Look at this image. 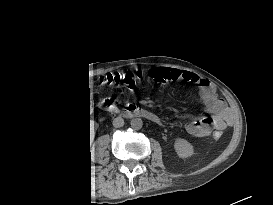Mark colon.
I'll return each instance as SVG.
<instances>
[{
	"label": "colon",
	"mask_w": 273,
	"mask_h": 205,
	"mask_svg": "<svg viewBox=\"0 0 273 205\" xmlns=\"http://www.w3.org/2000/svg\"><path fill=\"white\" fill-rule=\"evenodd\" d=\"M143 73L141 71L137 73L127 72L124 74H114V75H100L96 78V81L101 85H107L112 88L116 89H123L127 87H132L137 80H139L142 77ZM156 82H166L168 81L166 77H161L158 80H155ZM90 107L87 103H81L77 108L76 112L79 113H87L89 111ZM215 138L220 137L219 132L214 133Z\"/></svg>",
	"instance_id": "obj_1"
}]
</instances>
